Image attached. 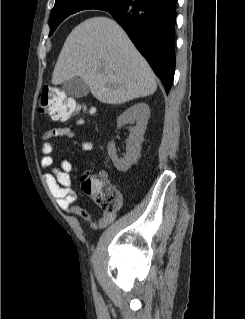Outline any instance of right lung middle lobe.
Segmentation results:
<instances>
[{"label": "right lung middle lobe", "instance_id": "obj_1", "mask_svg": "<svg viewBox=\"0 0 245 319\" xmlns=\"http://www.w3.org/2000/svg\"><path fill=\"white\" fill-rule=\"evenodd\" d=\"M123 0H56L50 19V33L69 15L84 9H109L113 8Z\"/></svg>", "mask_w": 245, "mask_h": 319}]
</instances>
